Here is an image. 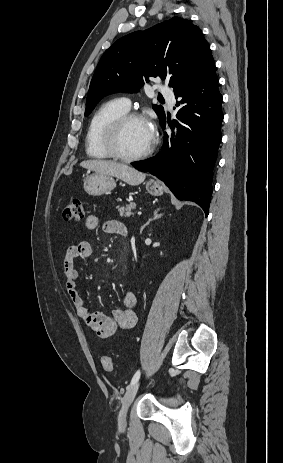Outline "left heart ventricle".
<instances>
[{
	"instance_id": "left-heart-ventricle-1",
	"label": "left heart ventricle",
	"mask_w": 283,
	"mask_h": 463,
	"mask_svg": "<svg viewBox=\"0 0 283 463\" xmlns=\"http://www.w3.org/2000/svg\"><path fill=\"white\" fill-rule=\"evenodd\" d=\"M151 140L152 131L149 125L140 120H132L121 130L117 146L125 155H136L146 150Z\"/></svg>"
}]
</instances>
